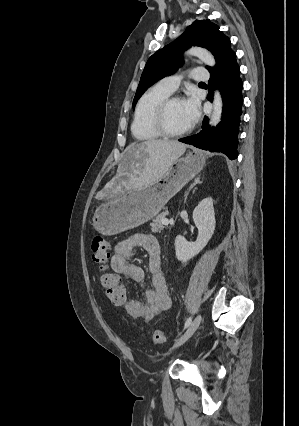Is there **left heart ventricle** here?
<instances>
[{
    "instance_id": "1",
    "label": "left heart ventricle",
    "mask_w": 299,
    "mask_h": 426,
    "mask_svg": "<svg viewBox=\"0 0 299 426\" xmlns=\"http://www.w3.org/2000/svg\"><path fill=\"white\" fill-rule=\"evenodd\" d=\"M166 122L168 128L172 131L182 130L191 124L183 101H175L170 105L166 116Z\"/></svg>"
}]
</instances>
